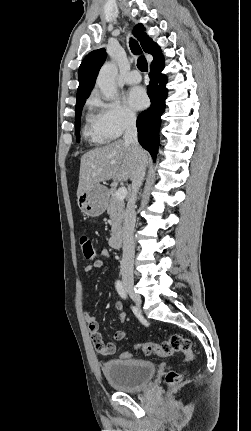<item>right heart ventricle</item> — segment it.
<instances>
[{"label": "right heart ventricle", "instance_id": "right-heart-ventricle-1", "mask_svg": "<svg viewBox=\"0 0 251 431\" xmlns=\"http://www.w3.org/2000/svg\"><path fill=\"white\" fill-rule=\"evenodd\" d=\"M84 134L86 137L97 141V142H104L106 140H108V138H106L105 136H103L97 129L95 122H94V117L92 114H88L86 117V125L84 128Z\"/></svg>", "mask_w": 251, "mask_h": 431}]
</instances>
